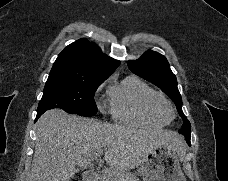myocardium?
I'll return each instance as SVG.
<instances>
[{
    "label": "myocardium",
    "instance_id": "obj_1",
    "mask_svg": "<svg viewBox=\"0 0 228 181\" xmlns=\"http://www.w3.org/2000/svg\"><path fill=\"white\" fill-rule=\"evenodd\" d=\"M156 106L158 109L166 111V112H170V106L169 103L163 99H161L160 101H158L156 103Z\"/></svg>",
    "mask_w": 228,
    "mask_h": 181
}]
</instances>
